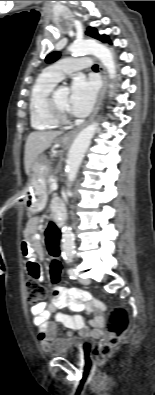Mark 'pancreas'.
Here are the masks:
<instances>
[{
    "mask_svg": "<svg viewBox=\"0 0 155 395\" xmlns=\"http://www.w3.org/2000/svg\"><path fill=\"white\" fill-rule=\"evenodd\" d=\"M53 182H56V179H55L54 176H50V177H48V178L46 179V185H47V187H48V193H51V192H52L51 184H52Z\"/></svg>",
    "mask_w": 155,
    "mask_h": 395,
    "instance_id": "1",
    "label": "pancreas"
}]
</instances>
